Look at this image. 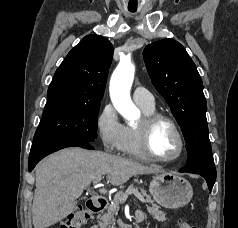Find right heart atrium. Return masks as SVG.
<instances>
[{"label":"right heart atrium","instance_id":"right-heart-atrium-1","mask_svg":"<svg viewBox=\"0 0 238 228\" xmlns=\"http://www.w3.org/2000/svg\"><path fill=\"white\" fill-rule=\"evenodd\" d=\"M96 127L104 150L118 152L124 138L125 126L112 104L106 103L102 107L97 117Z\"/></svg>","mask_w":238,"mask_h":228}]
</instances>
